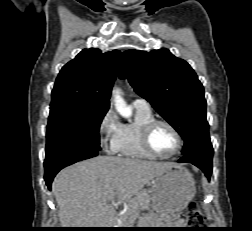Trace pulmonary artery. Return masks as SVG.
<instances>
[{"mask_svg":"<svg viewBox=\"0 0 252 231\" xmlns=\"http://www.w3.org/2000/svg\"><path fill=\"white\" fill-rule=\"evenodd\" d=\"M132 105L136 106V107H142V108L150 109V104L148 103L147 100H145L143 98H136L133 101Z\"/></svg>","mask_w":252,"mask_h":231,"instance_id":"obj_1","label":"pulmonary artery"}]
</instances>
